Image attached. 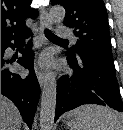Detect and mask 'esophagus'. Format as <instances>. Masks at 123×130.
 <instances>
[{
	"label": "esophagus",
	"instance_id": "obj_1",
	"mask_svg": "<svg viewBox=\"0 0 123 130\" xmlns=\"http://www.w3.org/2000/svg\"><path fill=\"white\" fill-rule=\"evenodd\" d=\"M52 27V22L49 18L48 12L46 9H43L41 11V16H40V37L43 39V30L45 28H51ZM35 71H36V76L38 79V82L42 86L45 81V72L38 66H35Z\"/></svg>",
	"mask_w": 123,
	"mask_h": 130
}]
</instances>
